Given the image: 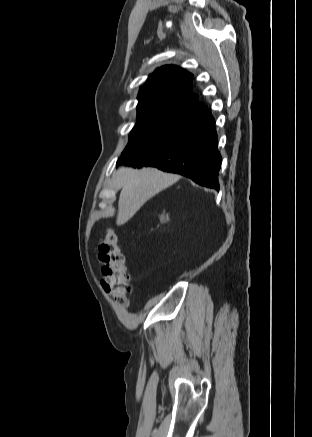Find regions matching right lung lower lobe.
I'll return each mask as SVG.
<instances>
[{"mask_svg": "<svg viewBox=\"0 0 312 437\" xmlns=\"http://www.w3.org/2000/svg\"><path fill=\"white\" fill-rule=\"evenodd\" d=\"M133 167L152 166L178 173L195 183L218 190L221 156L215 121L207 110L185 131L155 147L127 153L119 159Z\"/></svg>", "mask_w": 312, "mask_h": 437, "instance_id": "obj_1", "label": "right lung lower lobe"}]
</instances>
